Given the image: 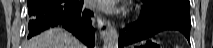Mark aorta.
<instances>
[{
  "instance_id": "aorta-1",
  "label": "aorta",
  "mask_w": 213,
  "mask_h": 48,
  "mask_svg": "<svg viewBox=\"0 0 213 48\" xmlns=\"http://www.w3.org/2000/svg\"><path fill=\"white\" fill-rule=\"evenodd\" d=\"M103 48H118V31L114 25H108Z\"/></svg>"
}]
</instances>
